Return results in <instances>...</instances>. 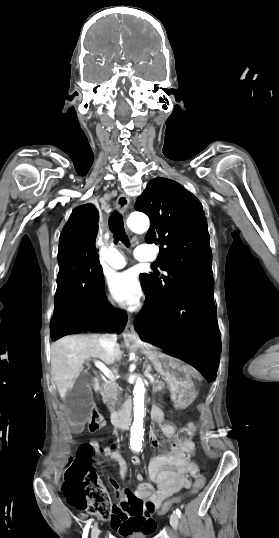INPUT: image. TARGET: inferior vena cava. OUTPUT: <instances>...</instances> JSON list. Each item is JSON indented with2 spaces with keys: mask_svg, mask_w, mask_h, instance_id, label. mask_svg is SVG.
Returning a JSON list of instances; mask_svg holds the SVG:
<instances>
[{
  "mask_svg": "<svg viewBox=\"0 0 279 538\" xmlns=\"http://www.w3.org/2000/svg\"><path fill=\"white\" fill-rule=\"evenodd\" d=\"M117 340V335H109V334H105V335H100V338H99V344L105 348V351L107 350V353L108 356H113L114 354V346L117 344H114V341ZM109 360V359H108ZM114 360V359H113ZM124 416L122 414H119V416ZM118 416V415H117Z\"/></svg>",
  "mask_w": 279,
  "mask_h": 538,
  "instance_id": "inferior-vena-cava-1",
  "label": "inferior vena cava"
}]
</instances>
